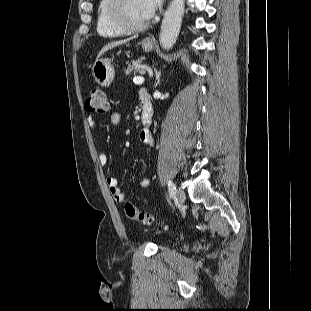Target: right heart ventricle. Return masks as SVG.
I'll return each instance as SVG.
<instances>
[{"mask_svg": "<svg viewBox=\"0 0 311 311\" xmlns=\"http://www.w3.org/2000/svg\"><path fill=\"white\" fill-rule=\"evenodd\" d=\"M109 0H99L96 10V31L104 37H120L125 34L109 18L107 13Z\"/></svg>", "mask_w": 311, "mask_h": 311, "instance_id": "e07e8e85", "label": "right heart ventricle"}]
</instances>
